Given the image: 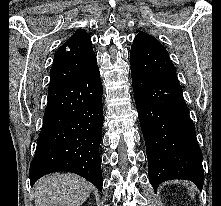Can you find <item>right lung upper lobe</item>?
Returning <instances> with one entry per match:
<instances>
[{
    "instance_id": "cb5924a9",
    "label": "right lung upper lobe",
    "mask_w": 221,
    "mask_h": 206,
    "mask_svg": "<svg viewBox=\"0 0 221 206\" xmlns=\"http://www.w3.org/2000/svg\"><path fill=\"white\" fill-rule=\"evenodd\" d=\"M97 65L91 37L77 30L55 53L48 89L59 86Z\"/></svg>"
}]
</instances>
